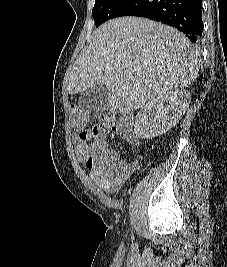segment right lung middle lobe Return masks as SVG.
Listing matches in <instances>:
<instances>
[{
    "label": "right lung middle lobe",
    "mask_w": 227,
    "mask_h": 267,
    "mask_svg": "<svg viewBox=\"0 0 227 267\" xmlns=\"http://www.w3.org/2000/svg\"><path fill=\"white\" fill-rule=\"evenodd\" d=\"M129 0H95L92 10L96 27L114 17V14Z\"/></svg>",
    "instance_id": "obj_1"
}]
</instances>
